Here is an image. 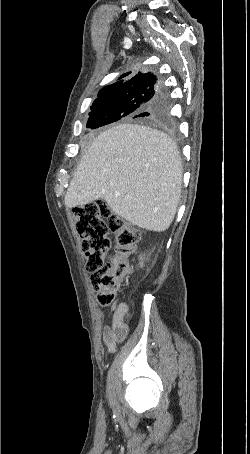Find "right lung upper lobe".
Instances as JSON below:
<instances>
[{
  "label": "right lung upper lobe",
  "instance_id": "obj_1",
  "mask_svg": "<svg viewBox=\"0 0 250 454\" xmlns=\"http://www.w3.org/2000/svg\"><path fill=\"white\" fill-rule=\"evenodd\" d=\"M131 72H127L119 77L122 79L123 77L128 76ZM159 85L157 77L151 73H139L132 78H128L125 80H119L109 86H105L101 89L98 93V98L95 101H98L103 98H108L112 96H119L123 92L127 93L128 90L135 88L141 85Z\"/></svg>",
  "mask_w": 250,
  "mask_h": 454
}]
</instances>
